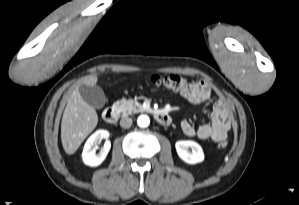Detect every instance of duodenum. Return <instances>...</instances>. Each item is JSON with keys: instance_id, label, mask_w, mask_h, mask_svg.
<instances>
[{"instance_id": "duodenum-1", "label": "duodenum", "mask_w": 299, "mask_h": 205, "mask_svg": "<svg viewBox=\"0 0 299 205\" xmlns=\"http://www.w3.org/2000/svg\"><path fill=\"white\" fill-rule=\"evenodd\" d=\"M153 115L157 122L162 125H169L171 123L170 115L164 111H155ZM102 116L107 123L113 124L118 120L119 111L115 107H107L104 109Z\"/></svg>"}]
</instances>
